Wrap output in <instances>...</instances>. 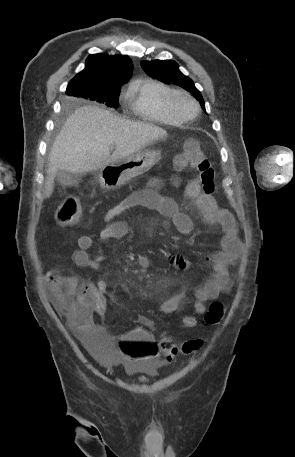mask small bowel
Instances as JSON below:
<instances>
[{
  "label": "small bowel",
  "mask_w": 295,
  "mask_h": 457,
  "mask_svg": "<svg viewBox=\"0 0 295 457\" xmlns=\"http://www.w3.org/2000/svg\"><path fill=\"white\" fill-rule=\"evenodd\" d=\"M162 183L161 180H153L148 187L134 192L118 205L111 208L105 215V224L99 233L100 241L125 237L129 233L127 224L114 219L122 212L135 206H144L158 211L162 216L169 218L182 235H189L193 228L192 219L179 210L175 201L159 193L158 190ZM184 195L195 204L197 211L208 224L218 226L222 231L220 250L208 257L212 265L211 277L195 292V302L193 304L195 315H186L182 319V324L185 328H193L198 324L196 316L205 313L206 302L217 299L221 294L226 293L231 288L228 267L236 260L240 253L241 241L233 215L221 208L213 197L205 195L198 180L192 179L188 181L185 186ZM92 243L93 240L88 235L79 237L78 248L72 255L73 262L76 266L87 267L93 270L100 269L105 257L97 256L93 259L90 258L88 249L92 246ZM137 262L142 267H147L150 264L149 258L143 254L138 255ZM169 262L178 269H186L189 266V262L181 256H171ZM108 274L109 272H106L95 285L87 286L89 298L88 314L85 317L77 319L68 316V323L79 338H105L103 328L93 322L91 314L95 313L101 317L105 316V293L109 289L107 281ZM53 275L54 273H49L47 275V281L50 290L56 295V282ZM184 298L185 293L183 291L178 292L159 306L160 312L170 314L177 311ZM113 300L119 304V300L115 295H113ZM139 322L147 327H152L151 321L145 317H140ZM166 341L169 340H164L163 342ZM116 357L120 359L117 355Z\"/></svg>",
  "instance_id": "small-bowel-1"
}]
</instances>
